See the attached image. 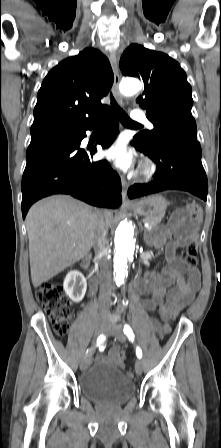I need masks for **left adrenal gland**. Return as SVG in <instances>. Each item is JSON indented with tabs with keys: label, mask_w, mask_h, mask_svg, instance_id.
Returning <instances> with one entry per match:
<instances>
[{
	"label": "left adrenal gland",
	"mask_w": 221,
	"mask_h": 448,
	"mask_svg": "<svg viewBox=\"0 0 221 448\" xmlns=\"http://www.w3.org/2000/svg\"><path fill=\"white\" fill-rule=\"evenodd\" d=\"M140 229L141 230H143L144 228H143V226L140 224ZM146 235H147V232H146V230H144V240H146Z\"/></svg>",
	"instance_id": "obj_1"
}]
</instances>
